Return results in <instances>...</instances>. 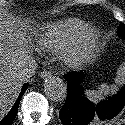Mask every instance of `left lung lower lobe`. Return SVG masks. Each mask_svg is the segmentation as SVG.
I'll list each match as a JSON object with an SVG mask.
<instances>
[{
    "label": "left lung lower lobe",
    "mask_w": 125,
    "mask_h": 125,
    "mask_svg": "<svg viewBox=\"0 0 125 125\" xmlns=\"http://www.w3.org/2000/svg\"><path fill=\"white\" fill-rule=\"evenodd\" d=\"M64 77L68 82V94L59 111L64 125H97L115 117L125 106V86L114 97L94 105L84 96L81 85L84 73L70 72Z\"/></svg>",
    "instance_id": "0a47b994"
}]
</instances>
